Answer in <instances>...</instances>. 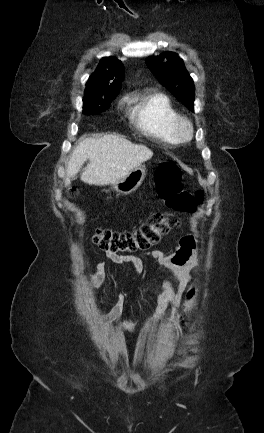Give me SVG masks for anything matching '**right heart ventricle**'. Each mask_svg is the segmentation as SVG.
<instances>
[{
    "instance_id": "obj_1",
    "label": "right heart ventricle",
    "mask_w": 264,
    "mask_h": 433,
    "mask_svg": "<svg viewBox=\"0 0 264 433\" xmlns=\"http://www.w3.org/2000/svg\"><path fill=\"white\" fill-rule=\"evenodd\" d=\"M127 103L130 120L139 131L164 144L179 142L174 124L180 115L168 96L146 91L129 96Z\"/></svg>"
}]
</instances>
